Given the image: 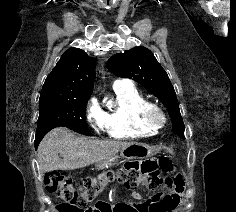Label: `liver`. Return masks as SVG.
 I'll use <instances>...</instances> for the list:
<instances>
[{
  "instance_id": "1",
  "label": "liver",
  "mask_w": 236,
  "mask_h": 212,
  "mask_svg": "<svg viewBox=\"0 0 236 212\" xmlns=\"http://www.w3.org/2000/svg\"><path fill=\"white\" fill-rule=\"evenodd\" d=\"M131 144L133 143L77 137L67 128H56L50 131L39 144L37 155L39 170L49 172L58 169L83 168L101 162Z\"/></svg>"
}]
</instances>
